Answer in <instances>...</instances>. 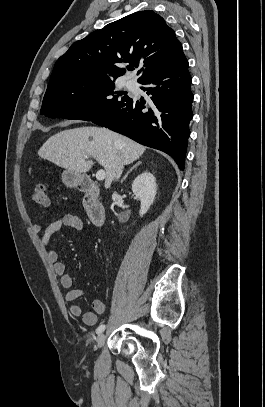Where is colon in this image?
I'll use <instances>...</instances> for the list:
<instances>
[{
  "label": "colon",
  "instance_id": "5ec220e1",
  "mask_svg": "<svg viewBox=\"0 0 265 407\" xmlns=\"http://www.w3.org/2000/svg\"><path fill=\"white\" fill-rule=\"evenodd\" d=\"M32 201L36 205L46 206L49 203L47 187L43 183H38L35 185L32 192Z\"/></svg>",
  "mask_w": 265,
  "mask_h": 407
}]
</instances>
